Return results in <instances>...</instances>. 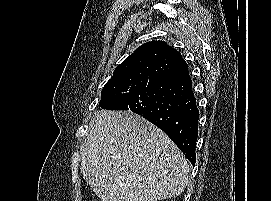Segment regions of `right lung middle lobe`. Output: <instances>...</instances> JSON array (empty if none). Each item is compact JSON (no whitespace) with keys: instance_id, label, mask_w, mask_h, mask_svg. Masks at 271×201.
<instances>
[{"instance_id":"right-lung-middle-lobe-1","label":"right lung middle lobe","mask_w":271,"mask_h":201,"mask_svg":"<svg viewBox=\"0 0 271 201\" xmlns=\"http://www.w3.org/2000/svg\"><path fill=\"white\" fill-rule=\"evenodd\" d=\"M151 79L149 69L134 70L113 75L101 92L99 105L107 110H119L128 97L142 93Z\"/></svg>"}]
</instances>
